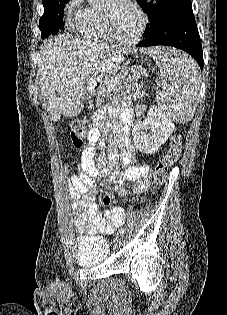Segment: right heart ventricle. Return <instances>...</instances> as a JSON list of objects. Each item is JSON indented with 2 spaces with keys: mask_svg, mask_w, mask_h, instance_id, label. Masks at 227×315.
<instances>
[{
  "mask_svg": "<svg viewBox=\"0 0 227 315\" xmlns=\"http://www.w3.org/2000/svg\"><path fill=\"white\" fill-rule=\"evenodd\" d=\"M76 31L85 38L112 39L103 24L101 9L97 7L82 8L75 16Z\"/></svg>",
  "mask_w": 227,
  "mask_h": 315,
  "instance_id": "1",
  "label": "right heart ventricle"
}]
</instances>
